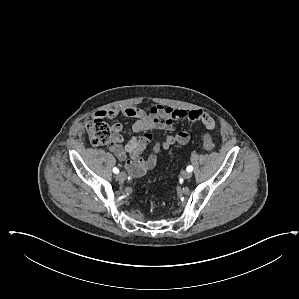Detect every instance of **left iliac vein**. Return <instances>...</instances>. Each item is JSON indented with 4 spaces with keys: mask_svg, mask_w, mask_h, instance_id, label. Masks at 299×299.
<instances>
[{
    "mask_svg": "<svg viewBox=\"0 0 299 299\" xmlns=\"http://www.w3.org/2000/svg\"><path fill=\"white\" fill-rule=\"evenodd\" d=\"M191 176H192V173H191V172H188V171H184V172H182V177H183L184 179H190Z\"/></svg>",
    "mask_w": 299,
    "mask_h": 299,
    "instance_id": "obj_1",
    "label": "left iliac vein"
}]
</instances>
